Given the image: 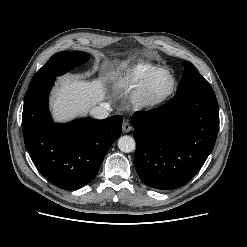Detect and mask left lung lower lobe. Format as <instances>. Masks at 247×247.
Instances as JSON below:
<instances>
[{"instance_id": "obj_1", "label": "left lung lower lobe", "mask_w": 247, "mask_h": 247, "mask_svg": "<svg viewBox=\"0 0 247 247\" xmlns=\"http://www.w3.org/2000/svg\"><path fill=\"white\" fill-rule=\"evenodd\" d=\"M134 165L144 184L161 190L179 188L200 170L219 130L213 90L191 88L166 104L132 116Z\"/></svg>"}]
</instances>
